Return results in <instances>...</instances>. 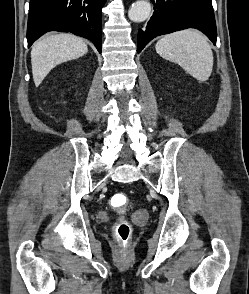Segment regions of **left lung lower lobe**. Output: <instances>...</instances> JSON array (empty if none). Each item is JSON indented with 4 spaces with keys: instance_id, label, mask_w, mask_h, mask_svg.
Masks as SVG:
<instances>
[{
    "instance_id": "0a47b994",
    "label": "left lung lower lobe",
    "mask_w": 249,
    "mask_h": 294,
    "mask_svg": "<svg viewBox=\"0 0 249 294\" xmlns=\"http://www.w3.org/2000/svg\"><path fill=\"white\" fill-rule=\"evenodd\" d=\"M151 1L155 10L146 29L138 31V53L153 38L186 28L199 29L216 44L217 31L211 0Z\"/></svg>"
}]
</instances>
